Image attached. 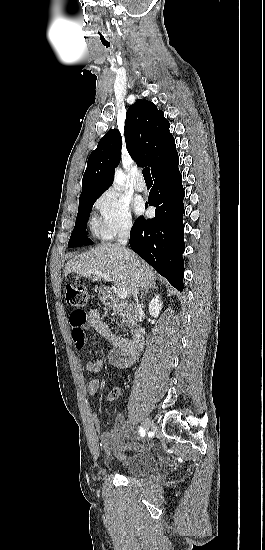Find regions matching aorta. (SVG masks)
Returning a JSON list of instances; mask_svg holds the SVG:
<instances>
[{"mask_svg": "<svg viewBox=\"0 0 265 550\" xmlns=\"http://www.w3.org/2000/svg\"><path fill=\"white\" fill-rule=\"evenodd\" d=\"M125 176L121 170H117L115 174L114 182L117 184V186L121 187L124 184Z\"/></svg>", "mask_w": 265, "mask_h": 550, "instance_id": "1", "label": "aorta"}]
</instances>
